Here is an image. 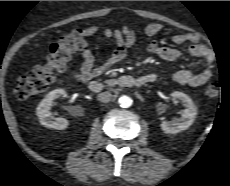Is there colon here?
I'll use <instances>...</instances> for the list:
<instances>
[{
    "label": "colon",
    "instance_id": "5ec220e1",
    "mask_svg": "<svg viewBox=\"0 0 230 186\" xmlns=\"http://www.w3.org/2000/svg\"><path fill=\"white\" fill-rule=\"evenodd\" d=\"M86 45L83 31H75L60 37L51 45L46 63L35 66L18 79L16 96L19 99H27L45 92L54 81L56 73L64 70L72 55L85 49ZM219 92L220 85L216 81L210 82L205 89V95L208 98L216 97Z\"/></svg>",
    "mask_w": 230,
    "mask_h": 186
}]
</instances>
